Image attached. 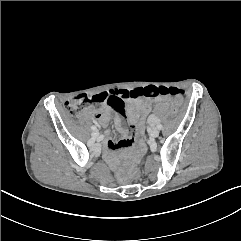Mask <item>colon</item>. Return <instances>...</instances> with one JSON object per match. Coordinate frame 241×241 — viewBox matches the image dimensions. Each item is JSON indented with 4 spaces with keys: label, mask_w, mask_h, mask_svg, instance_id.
Listing matches in <instances>:
<instances>
[{
    "label": "colon",
    "mask_w": 241,
    "mask_h": 241,
    "mask_svg": "<svg viewBox=\"0 0 241 241\" xmlns=\"http://www.w3.org/2000/svg\"><path fill=\"white\" fill-rule=\"evenodd\" d=\"M150 91L148 98H154L157 96L171 95L173 97H179L182 92L177 88L148 86L145 87ZM142 88H125L124 90H110L108 93H100L96 95L80 94L65 103V111L71 117H78L80 113L88 106H98L102 104L110 105L114 110L122 114L124 112L123 103L125 99H132L139 96V91ZM170 109L174 114L181 112L179 105L172 104ZM123 178L122 175L119 176Z\"/></svg>",
    "instance_id": "5ec220e1"
}]
</instances>
